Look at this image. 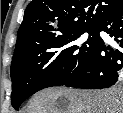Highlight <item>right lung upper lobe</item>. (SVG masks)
Segmentation results:
<instances>
[{"mask_svg": "<svg viewBox=\"0 0 123 113\" xmlns=\"http://www.w3.org/2000/svg\"><path fill=\"white\" fill-rule=\"evenodd\" d=\"M123 0H32L18 30L16 47L73 29H88Z\"/></svg>", "mask_w": 123, "mask_h": 113, "instance_id": "1", "label": "right lung upper lobe"}]
</instances>
